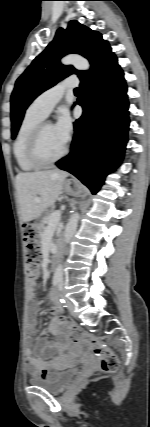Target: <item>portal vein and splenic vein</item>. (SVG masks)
<instances>
[{
	"label": "portal vein and splenic vein",
	"instance_id": "18ae733b",
	"mask_svg": "<svg viewBox=\"0 0 150 427\" xmlns=\"http://www.w3.org/2000/svg\"><path fill=\"white\" fill-rule=\"evenodd\" d=\"M39 201H40L39 198H35V202H39ZM60 217H61L60 211H54L50 216L49 227L54 226L60 220Z\"/></svg>",
	"mask_w": 150,
	"mask_h": 427
}]
</instances>
